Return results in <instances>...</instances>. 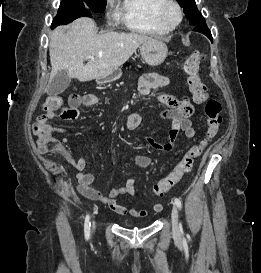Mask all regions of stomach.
<instances>
[{
  "label": "stomach",
  "mask_w": 261,
  "mask_h": 273,
  "mask_svg": "<svg viewBox=\"0 0 261 273\" xmlns=\"http://www.w3.org/2000/svg\"><path fill=\"white\" fill-rule=\"evenodd\" d=\"M142 59L151 66L160 65L168 55L166 44L157 39L146 41L140 45ZM121 70L117 69L104 79H97L99 83H108L121 77Z\"/></svg>",
  "instance_id": "stomach-1"
}]
</instances>
